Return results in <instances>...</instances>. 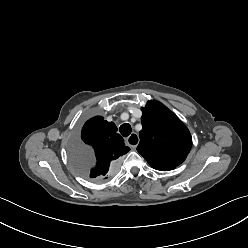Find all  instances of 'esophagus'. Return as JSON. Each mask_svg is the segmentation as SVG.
<instances>
[{"instance_id":"obj_1","label":"esophagus","mask_w":248,"mask_h":248,"mask_svg":"<svg viewBox=\"0 0 248 248\" xmlns=\"http://www.w3.org/2000/svg\"><path fill=\"white\" fill-rule=\"evenodd\" d=\"M140 139L136 133H132L126 140L128 146L135 149L139 143Z\"/></svg>"}]
</instances>
